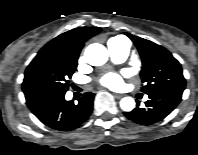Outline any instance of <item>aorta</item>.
I'll return each instance as SVG.
<instances>
[{
    "instance_id": "1",
    "label": "aorta",
    "mask_w": 198,
    "mask_h": 155,
    "mask_svg": "<svg viewBox=\"0 0 198 155\" xmlns=\"http://www.w3.org/2000/svg\"><path fill=\"white\" fill-rule=\"evenodd\" d=\"M84 55L86 61L92 66H101L108 60V50L98 43L90 44L85 49ZM120 107L123 111L130 112L135 108V101L132 97H124L120 101Z\"/></svg>"
}]
</instances>
